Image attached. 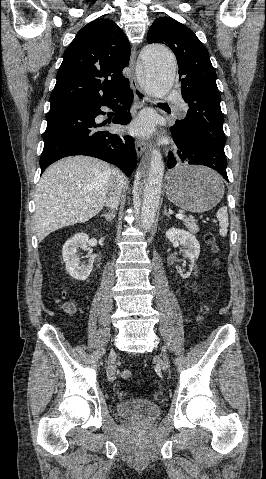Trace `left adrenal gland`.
I'll return each mask as SVG.
<instances>
[{"instance_id": "left-adrenal-gland-1", "label": "left adrenal gland", "mask_w": 266, "mask_h": 479, "mask_svg": "<svg viewBox=\"0 0 266 479\" xmlns=\"http://www.w3.org/2000/svg\"><path fill=\"white\" fill-rule=\"evenodd\" d=\"M163 215H166L169 219L171 218L170 214L167 212V207H164Z\"/></svg>"}]
</instances>
